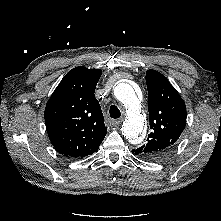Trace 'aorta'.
I'll use <instances>...</instances> for the list:
<instances>
[{
  "label": "aorta",
  "instance_id": "1",
  "mask_svg": "<svg viewBox=\"0 0 221 221\" xmlns=\"http://www.w3.org/2000/svg\"><path fill=\"white\" fill-rule=\"evenodd\" d=\"M114 93L127 114L122 125V134L132 144H139L145 134V117L134 89L128 83L121 82L115 87Z\"/></svg>",
  "mask_w": 221,
  "mask_h": 221
}]
</instances>
